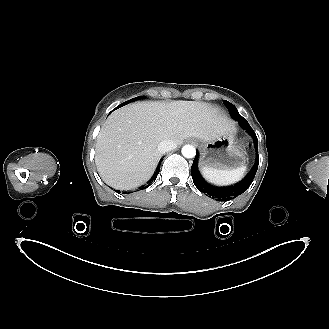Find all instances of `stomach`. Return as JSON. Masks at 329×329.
Returning <instances> with one entry per match:
<instances>
[{
	"instance_id": "stomach-1",
	"label": "stomach",
	"mask_w": 329,
	"mask_h": 329,
	"mask_svg": "<svg viewBox=\"0 0 329 329\" xmlns=\"http://www.w3.org/2000/svg\"><path fill=\"white\" fill-rule=\"evenodd\" d=\"M236 131L205 142L202 146L200 166L217 170L244 167L247 162L245 150L236 139Z\"/></svg>"
}]
</instances>
